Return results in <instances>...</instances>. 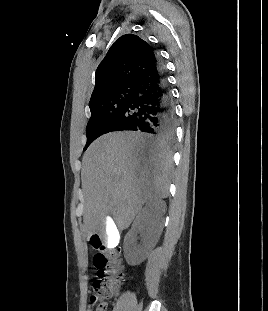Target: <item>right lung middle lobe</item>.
<instances>
[{"label":"right lung middle lobe","instance_id":"obj_1","mask_svg":"<svg viewBox=\"0 0 268 311\" xmlns=\"http://www.w3.org/2000/svg\"><path fill=\"white\" fill-rule=\"evenodd\" d=\"M133 93L134 86H126L89 104L91 117L86 127L87 142L84 150L95 139L107 133L108 127L123 111Z\"/></svg>","mask_w":268,"mask_h":311}]
</instances>
